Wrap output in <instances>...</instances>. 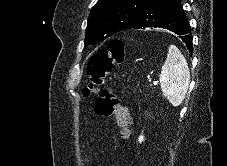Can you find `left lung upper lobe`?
<instances>
[{"mask_svg": "<svg viewBox=\"0 0 227 166\" xmlns=\"http://www.w3.org/2000/svg\"><path fill=\"white\" fill-rule=\"evenodd\" d=\"M147 0H99L92 8L86 28L85 46L131 29Z\"/></svg>", "mask_w": 227, "mask_h": 166, "instance_id": "left-lung-upper-lobe-1", "label": "left lung upper lobe"}]
</instances>
